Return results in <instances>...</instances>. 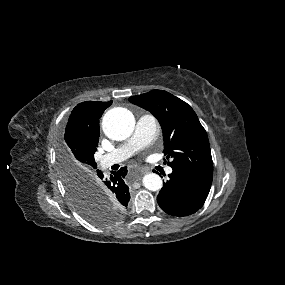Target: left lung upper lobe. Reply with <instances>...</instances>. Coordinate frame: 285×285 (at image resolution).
Returning <instances> with one entry per match:
<instances>
[{
	"mask_svg": "<svg viewBox=\"0 0 285 285\" xmlns=\"http://www.w3.org/2000/svg\"><path fill=\"white\" fill-rule=\"evenodd\" d=\"M131 103L150 111L160 122L164 152L172 169L213 174L207 133L196 113L186 102L163 91L130 97Z\"/></svg>",
	"mask_w": 285,
	"mask_h": 285,
	"instance_id": "5c2ea615",
	"label": "left lung upper lobe"
}]
</instances>
